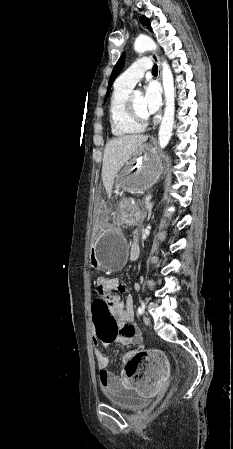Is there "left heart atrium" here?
Instances as JSON below:
<instances>
[{
	"label": "left heart atrium",
	"instance_id": "left-heart-atrium-1",
	"mask_svg": "<svg viewBox=\"0 0 233 449\" xmlns=\"http://www.w3.org/2000/svg\"><path fill=\"white\" fill-rule=\"evenodd\" d=\"M143 102L147 114H155L162 102L161 89L155 82H150L146 87L143 95Z\"/></svg>",
	"mask_w": 233,
	"mask_h": 449
}]
</instances>
